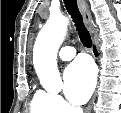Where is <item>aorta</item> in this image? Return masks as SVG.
I'll list each match as a JSON object with an SVG mask.
<instances>
[{"label": "aorta", "mask_w": 121, "mask_h": 113, "mask_svg": "<svg viewBox=\"0 0 121 113\" xmlns=\"http://www.w3.org/2000/svg\"><path fill=\"white\" fill-rule=\"evenodd\" d=\"M68 23V18L61 14L51 15L40 30L34 45V68L41 84L49 92H58L61 89L56 58Z\"/></svg>", "instance_id": "1"}]
</instances>
